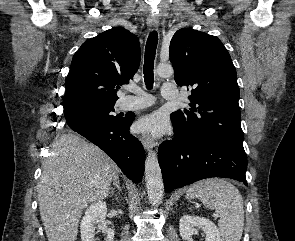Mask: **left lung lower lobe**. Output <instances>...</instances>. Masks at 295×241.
<instances>
[{"instance_id":"1","label":"left lung lower lobe","mask_w":295,"mask_h":241,"mask_svg":"<svg viewBox=\"0 0 295 241\" xmlns=\"http://www.w3.org/2000/svg\"><path fill=\"white\" fill-rule=\"evenodd\" d=\"M173 127L175 138L163 142L158 150L166 192L210 177L232 178L247 185L243 144L211 136L187 139Z\"/></svg>"}]
</instances>
